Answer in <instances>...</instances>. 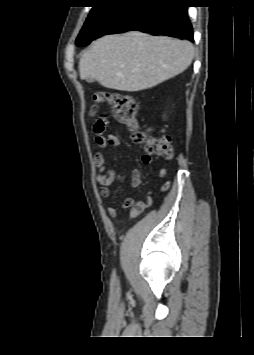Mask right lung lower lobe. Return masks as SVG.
<instances>
[{
    "mask_svg": "<svg viewBox=\"0 0 254 355\" xmlns=\"http://www.w3.org/2000/svg\"><path fill=\"white\" fill-rule=\"evenodd\" d=\"M187 7L185 0H134L122 3L92 40L105 34L136 30L193 41V28L187 16ZM91 41L77 40L76 44L86 46Z\"/></svg>",
    "mask_w": 254,
    "mask_h": 355,
    "instance_id": "1",
    "label": "right lung lower lobe"
}]
</instances>
